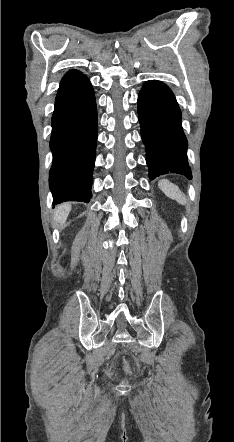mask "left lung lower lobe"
Listing matches in <instances>:
<instances>
[{
	"instance_id": "obj_1",
	"label": "left lung lower lobe",
	"mask_w": 234,
	"mask_h": 442,
	"mask_svg": "<svg viewBox=\"0 0 234 442\" xmlns=\"http://www.w3.org/2000/svg\"><path fill=\"white\" fill-rule=\"evenodd\" d=\"M138 119L146 147L149 177L177 173L192 179L181 111L172 91L157 80L147 81L138 96Z\"/></svg>"
}]
</instances>
